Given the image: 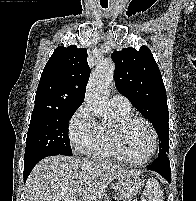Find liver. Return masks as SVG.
Instances as JSON below:
<instances>
[{
  "instance_id": "liver-1",
  "label": "liver",
  "mask_w": 196,
  "mask_h": 201,
  "mask_svg": "<svg viewBox=\"0 0 196 201\" xmlns=\"http://www.w3.org/2000/svg\"><path fill=\"white\" fill-rule=\"evenodd\" d=\"M139 172L106 161L49 156L41 160L26 181V201H102L105 190L124 175ZM81 190L82 193L78 194Z\"/></svg>"
}]
</instances>
